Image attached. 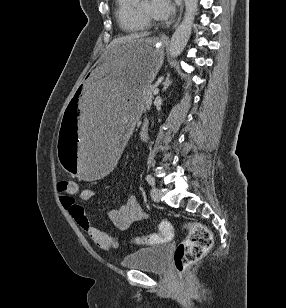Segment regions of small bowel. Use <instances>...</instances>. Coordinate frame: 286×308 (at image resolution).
I'll return each instance as SVG.
<instances>
[{
	"instance_id": "1",
	"label": "small bowel",
	"mask_w": 286,
	"mask_h": 308,
	"mask_svg": "<svg viewBox=\"0 0 286 308\" xmlns=\"http://www.w3.org/2000/svg\"><path fill=\"white\" fill-rule=\"evenodd\" d=\"M94 194V190L85 188L79 192L78 198L81 201H88ZM61 202L96 246L103 250H108L118 245L117 241L109 232L101 231L91 224L83 207L79 205L74 198L62 197ZM144 217L145 214L135 196H129L124 205L109 212V220L120 230H128L134 222Z\"/></svg>"
}]
</instances>
